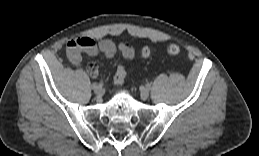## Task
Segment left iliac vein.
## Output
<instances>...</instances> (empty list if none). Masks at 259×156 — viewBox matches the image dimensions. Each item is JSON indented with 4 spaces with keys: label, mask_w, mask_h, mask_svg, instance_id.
I'll use <instances>...</instances> for the list:
<instances>
[{
    "label": "left iliac vein",
    "mask_w": 259,
    "mask_h": 156,
    "mask_svg": "<svg viewBox=\"0 0 259 156\" xmlns=\"http://www.w3.org/2000/svg\"><path fill=\"white\" fill-rule=\"evenodd\" d=\"M140 95L143 100H146L149 97V90L147 88H143Z\"/></svg>",
    "instance_id": "1"
}]
</instances>
